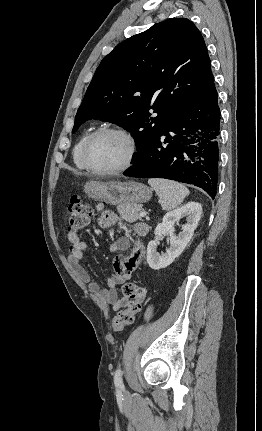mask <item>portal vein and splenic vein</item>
Wrapping results in <instances>:
<instances>
[{
  "instance_id": "18ae733b",
  "label": "portal vein and splenic vein",
  "mask_w": 262,
  "mask_h": 431,
  "mask_svg": "<svg viewBox=\"0 0 262 431\" xmlns=\"http://www.w3.org/2000/svg\"><path fill=\"white\" fill-rule=\"evenodd\" d=\"M146 216V212H141L140 213V217H145Z\"/></svg>"
}]
</instances>
